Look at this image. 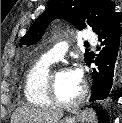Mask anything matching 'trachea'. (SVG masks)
Returning <instances> with one entry per match:
<instances>
[{"instance_id": "obj_1", "label": "trachea", "mask_w": 122, "mask_h": 123, "mask_svg": "<svg viewBox=\"0 0 122 123\" xmlns=\"http://www.w3.org/2000/svg\"><path fill=\"white\" fill-rule=\"evenodd\" d=\"M85 45H86V46H88L89 44H88V43H86Z\"/></svg>"}]
</instances>
